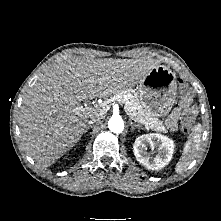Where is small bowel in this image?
<instances>
[{
  "label": "small bowel",
  "mask_w": 221,
  "mask_h": 221,
  "mask_svg": "<svg viewBox=\"0 0 221 221\" xmlns=\"http://www.w3.org/2000/svg\"><path fill=\"white\" fill-rule=\"evenodd\" d=\"M194 109V107L191 104V99L186 100V99H182V101L180 102L179 106L176 107L172 113L169 115V117L167 118L166 124L167 126L171 129L174 130L177 127V122L181 116V113L187 109Z\"/></svg>",
  "instance_id": "c3829d8e"
}]
</instances>
